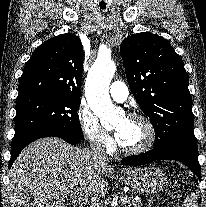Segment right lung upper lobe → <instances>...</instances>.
I'll return each instance as SVG.
<instances>
[{"label":"right lung upper lobe","instance_id":"right-lung-upper-lobe-1","mask_svg":"<svg viewBox=\"0 0 206 207\" xmlns=\"http://www.w3.org/2000/svg\"><path fill=\"white\" fill-rule=\"evenodd\" d=\"M83 46L66 33L41 44L25 64L16 100L35 95L80 98Z\"/></svg>","mask_w":206,"mask_h":207}]
</instances>
